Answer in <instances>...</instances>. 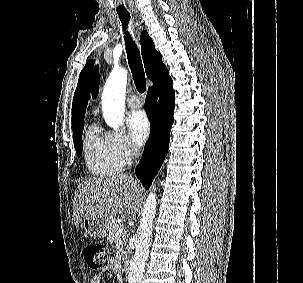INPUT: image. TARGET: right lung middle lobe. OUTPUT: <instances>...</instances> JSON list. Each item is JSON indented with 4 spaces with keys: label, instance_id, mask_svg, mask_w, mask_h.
Listing matches in <instances>:
<instances>
[{
    "label": "right lung middle lobe",
    "instance_id": "obj_1",
    "mask_svg": "<svg viewBox=\"0 0 303 283\" xmlns=\"http://www.w3.org/2000/svg\"><path fill=\"white\" fill-rule=\"evenodd\" d=\"M82 133H83V122L73 127L74 145L78 157L82 156Z\"/></svg>",
    "mask_w": 303,
    "mask_h": 283
}]
</instances>
